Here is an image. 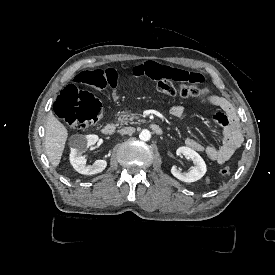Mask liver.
<instances>
[{
	"label": "liver",
	"mask_w": 275,
	"mask_h": 275,
	"mask_svg": "<svg viewBox=\"0 0 275 275\" xmlns=\"http://www.w3.org/2000/svg\"><path fill=\"white\" fill-rule=\"evenodd\" d=\"M68 137L66 127L53 115L48 113L46 133H45V149L50 163L53 167H57L65 147Z\"/></svg>",
	"instance_id": "liver-1"
}]
</instances>
